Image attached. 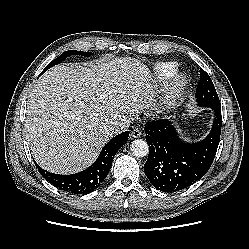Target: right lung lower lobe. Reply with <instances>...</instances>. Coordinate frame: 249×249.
<instances>
[{"instance_id": "obj_1", "label": "right lung lower lobe", "mask_w": 249, "mask_h": 249, "mask_svg": "<svg viewBox=\"0 0 249 249\" xmlns=\"http://www.w3.org/2000/svg\"><path fill=\"white\" fill-rule=\"evenodd\" d=\"M129 131L112 138L102 149L97 160L86 170L71 175L50 173L36 164L40 174L57 188L73 193L85 194L94 191L109 173L116 152L128 140Z\"/></svg>"}]
</instances>
